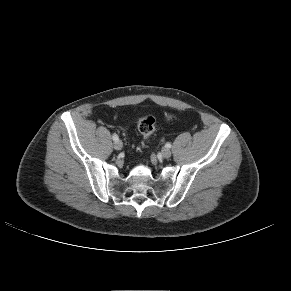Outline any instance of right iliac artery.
<instances>
[{
  "instance_id": "1",
  "label": "right iliac artery",
  "mask_w": 291,
  "mask_h": 291,
  "mask_svg": "<svg viewBox=\"0 0 291 291\" xmlns=\"http://www.w3.org/2000/svg\"><path fill=\"white\" fill-rule=\"evenodd\" d=\"M112 138H113L114 141H118L119 140V137L116 134H113Z\"/></svg>"
}]
</instances>
